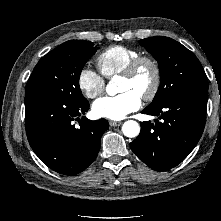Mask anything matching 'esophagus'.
<instances>
[{
    "instance_id": "esophagus-1",
    "label": "esophagus",
    "mask_w": 221,
    "mask_h": 221,
    "mask_svg": "<svg viewBox=\"0 0 221 221\" xmlns=\"http://www.w3.org/2000/svg\"><path fill=\"white\" fill-rule=\"evenodd\" d=\"M109 124L112 127H116V126H120L122 124V122L121 121H110Z\"/></svg>"
}]
</instances>
